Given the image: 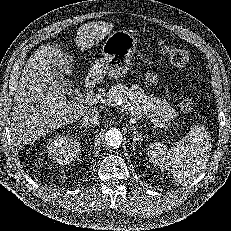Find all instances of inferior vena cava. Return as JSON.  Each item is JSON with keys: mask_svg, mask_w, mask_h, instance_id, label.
Returning <instances> with one entry per match:
<instances>
[{"mask_svg": "<svg viewBox=\"0 0 231 231\" xmlns=\"http://www.w3.org/2000/svg\"><path fill=\"white\" fill-rule=\"evenodd\" d=\"M81 124L85 128H93L99 124V118L96 114L89 112L82 116Z\"/></svg>", "mask_w": 231, "mask_h": 231, "instance_id": "obj_1", "label": "inferior vena cava"}]
</instances>
